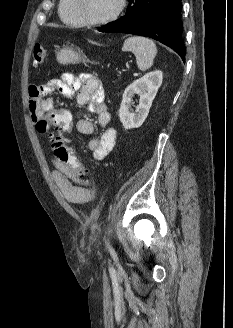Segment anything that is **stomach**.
Wrapping results in <instances>:
<instances>
[{
  "label": "stomach",
  "mask_w": 233,
  "mask_h": 328,
  "mask_svg": "<svg viewBox=\"0 0 233 328\" xmlns=\"http://www.w3.org/2000/svg\"><path fill=\"white\" fill-rule=\"evenodd\" d=\"M57 61L61 64H77L80 62H90L89 59L83 57L79 52L73 48L65 47L57 52Z\"/></svg>",
  "instance_id": "1"
}]
</instances>
